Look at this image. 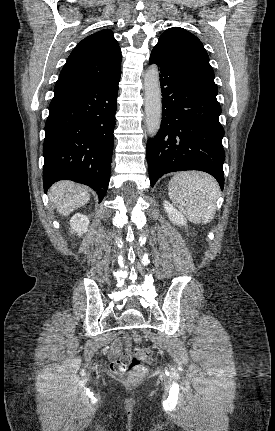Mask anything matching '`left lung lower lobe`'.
Masks as SVG:
<instances>
[{"label":"left lung lower lobe","mask_w":275,"mask_h":431,"mask_svg":"<svg viewBox=\"0 0 275 431\" xmlns=\"http://www.w3.org/2000/svg\"><path fill=\"white\" fill-rule=\"evenodd\" d=\"M149 62L160 68L163 96L160 130L146 147L151 186L165 173L200 170L214 176L223 189L224 129L219 103L156 49Z\"/></svg>","instance_id":"0a47b994"}]
</instances>
